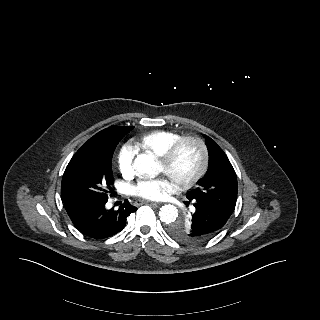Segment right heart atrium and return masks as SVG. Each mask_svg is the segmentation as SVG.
Masks as SVG:
<instances>
[{"label":"right heart atrium","mask_w":320,"mask_h":320,"mask_svg":"<svg viewBox=\"0 0 320 320\" xmlns=\"http://www.w3.org/2000/svg\"><path fill=\"white\" fill-rule=\"evenodd\" d=\"M136 154V149L131 143L124 144L118 154V167L123 175H130L133 173V161Z\"/></svg>","instance_id":"right-heart-atrium-1"}]
</instances>
